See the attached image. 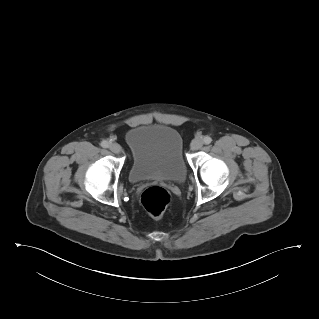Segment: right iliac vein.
Segmentation results:
<instances>
[{
	"label": "right iliac vein",
	"mask_w": 319,
	"mask_h": 319,
	"mask_svg": "<svg viewBox=\"0 0 319 319\" xmlns=\"http://www.w3.org/2000/svg\"><path fill=\"white\" fill-rule=\"evenodd\" d=\"M109 148L115 154H120L122 152V148L118 143H112Z\"/></svg>",
	"instance_id": "63e3f726"
}]
</instances>
